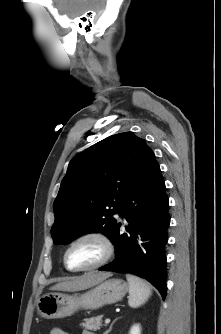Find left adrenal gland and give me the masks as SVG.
I'll use <instances>...</instances> for the list:
<instances>
[{"label":"left adrenal gland","instance_id":"left-adrenal-gland-1","mask_svg":"<svg viewBox=\"0 0 221 334\" xmlns=\"http://www.w3.org/2000/svg\"><path fill=\"white\" fill-rule=\"evenodd\" d=\"M116 320H117V319H115V320L111 323L109 329H108L104 334H108V333L112 330L113 324L115 323Z\"/></svg>","mask_w":221,"mask_h":334}]
</instances>
